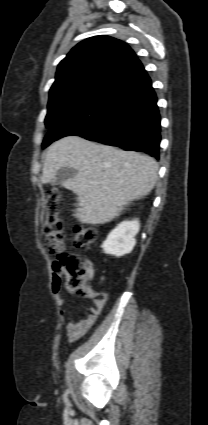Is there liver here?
<instances>
[{
    "label": "liver",
    "instance_id": "6515ba94",
    "mask_svg": "<svg viewBox=\"0 0 208 425\" xmlns=\"http://www.w3.org/2000/svg\"><path fill=\"white\" fill-rule=\"evenodd\" d=\"M62 167L77 171L63 184L77 195L74 217L93 225L113 220L129 202L149 194L158 173L152 157L78 136L64 137L49 147L41 182L49 183Z\"/></svg>",
    "mask_w": 208,
    "mask_h": 425
}]
</instances>
